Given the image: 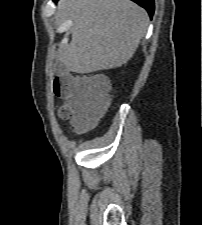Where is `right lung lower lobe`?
Returning a JSON list of instances; mask_svg holds the SVG:
<instances>
[{
    "instance_id": "98d812e1",
    "label": "right lung lower lobe",
    "mask_w": 202,
    "mask_h": 225,
    "mask_svg": "<svg viewBox=\"0 0 202 225\" xmlns=\"http://www.w3.org/2000/svg\"><path fill=\"white\" fill-rule=\"evenodd\" d=\"M53 1L57 2L58 0H53ZM132 1H134L138 5H140L143 8H145L148 11V14L150 15V17L153 16V13H154V0H132Z\"/></svg>"
}]
</instances>
